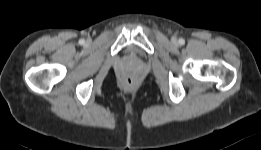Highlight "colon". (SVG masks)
<instances>
[{"mask_svg":"<svg viewBox=\"0 0 261 150\" xmlns=\"http://www.w3.org/2000/svg\"><path fill=\"white\" fill-rule=\"evenodd\" d=\"M125 84L128 87H132L135 84L134 78L128 77L125 79Z\"/></svg>","mask_w":261,"mask_h":150,"instance_id":"1","label":"colon"}]
</instances>
